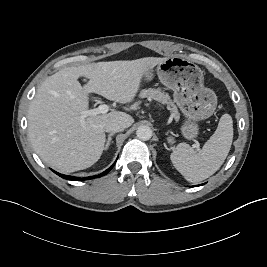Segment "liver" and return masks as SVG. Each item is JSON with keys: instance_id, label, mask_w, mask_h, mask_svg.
I'll list each match as a JSON object with an SVG mask.
<instances>
[{"instance_id": "6515ba94", "label": "liver", "mask_w": 267, "mask_h": 267, "mask_svg": "<svg viewBox=\"0 0 267 267\" xmlns=\"http://www.w3.org/2000/svg\"><path fill=\"white\" fill-rule=\"evenodd\" d=\"M166 58L98 62L69 67L49 76L38 88L28 110V137L35 152L49 166L65 173L91 167L101 157L104 125L120 120L127 127L134 119L124 112L88 115L90 92L121 104L136 96L143 75ZM89 82L81 86L79 77Z\"/></svg>"}]
</instances>
